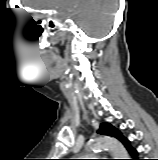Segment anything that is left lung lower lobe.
Returning <instances> with one entry per match:
<instances>
[{"label": "left lung lower lobe", "mask_w": 158, "mask_h": 160, "mask_svg": "<svg viewBox=\"0 0 158 160\" xmlns=\"http://www.w3.org/2000/svg\"><path fill=\"white\" fill-rule=\"evenodd\" d=\"M122 143L126 146L127 150L131 153V155L133 156V159L132 160H140L138 157H137V151L136 149H134L131 145H130V141L128 139H124L122 141Z\"/></svg>", "instance_id": "1"}]
</instances>
